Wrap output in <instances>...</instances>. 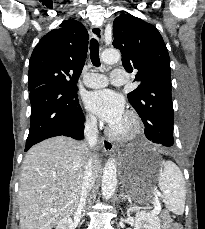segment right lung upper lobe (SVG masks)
<instances>
[{
    "mask_svg": "<svg viewBox=\"0 0 205 229\" xmlns=\"http://www.w3.org/2000/svg\"><path fill=\"white\" fill-rule=\"evenodd\" d=\"M88 32L76 20H66L47 33L34 48L30 62L29 91L65 78L77 83L88 51Z\"/></svg>",
    "mask_w": 205,
    "mask_h": 229,
    "instance_id": "obj_1",
    "label": "right lung upper lobe"
}]
</instances>
